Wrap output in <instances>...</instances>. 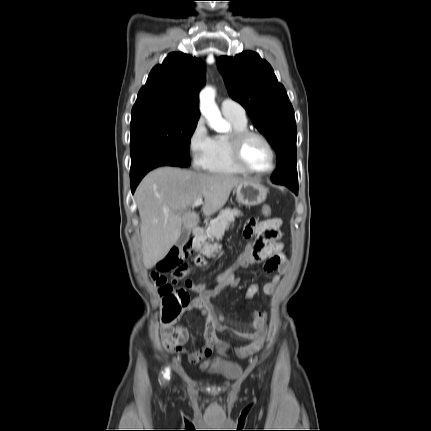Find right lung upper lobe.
Masks as SVG:
<instances>
[{
	"label": "right lung upper lobe",
	"mask_w": 431,
	"mask_h": 431,
	"mask_svg": "<svg viewBox=\"0 0 431 431\" xmlns=\"http://www.w3.org/2000/svg\"><path fill=\"white\" fill-rule=\"evenodd\" d=\"M205 84L202 60L174 52L149 74L132 109V118L145 115L199 119L198 94Z\"/></svg>",
	"instance_id": "cb5924a9"
}]
</instances>
